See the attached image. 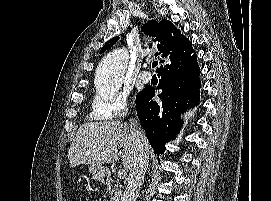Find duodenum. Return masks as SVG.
<instances>
[{
  "instance_id": "duodenum-1",
  "label": "duodenum",
  "mask_w": 271,
  "mask_h": 201,
  "mask_svg": "<svg viewBox=\"0 0 271 201\" xmlns=\"http://www.w3.org/2000/svg\"><path fill=\"white\" fill-rule=\"evenodd\" d=\"M102 180L105 182V183H110L111 182V175L110 173L106 172L102 178Z\"/></svg>"
}]
</instances>
